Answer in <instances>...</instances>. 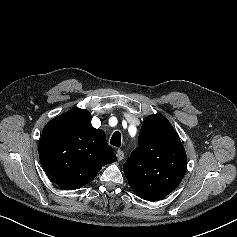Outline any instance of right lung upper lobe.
I'll list each match as a JSON object with an SVG mask.
<instances>
[{"mask_svg": "<svg viewBox=\"0 0 237 237\" xmlns=\"http://www.w3.org/2000/svg\"><path fill=\"white\" fill-rule=\"evenodd\" d=\"M39 158L60 188L79 189L92 181L102 166L116 161L105 133L91 124L87 110L74 108L46 124L39 140Z\"/></svg>", "mask_w": 237, "mask_h": 237, "instance_id": "obj_1", "label": "right lung upper lobe"}]
</instances>
